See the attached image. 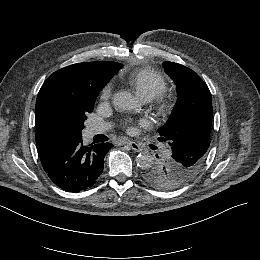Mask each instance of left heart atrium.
<instances>
[{"mask_svg":"<svg viewBox=\"0 0 260 260\" xmlns=\"http://www.w3.org/2000/svg\"><path fill=\"white\" fill-rule=\"evenodd\" d=\"M141 124L143 125L144 123H141ZM123 127H124L128 132H132V130H133V124H132V122L129 121V120H125V121L123 122Z\"/></svg>","mask_w":260,"mask_h":260,"instance_id":"1","label":"left heart atrium"}]
</instances>
